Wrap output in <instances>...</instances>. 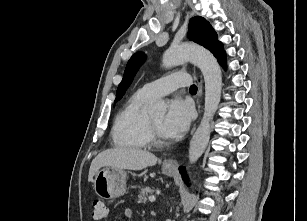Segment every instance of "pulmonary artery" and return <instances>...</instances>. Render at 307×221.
<instances>
[{"label": "pulmonary artery", "instance_id": "e3ab8cb5", "mask_svg": "<svg viewBox=\"0 0 307 221\" xmlns=\"http://www.w3.org/2000/svg\"><path fill=\"white\" fill-rule=\"evenodd\" d=\"M190 75L183 72L173 73L153 82L145 84L140 90L151 98L167 95L180 87L190 84Z\"/></svg>", "mask_w": 307, "mask_h": 221}]
</instances>
